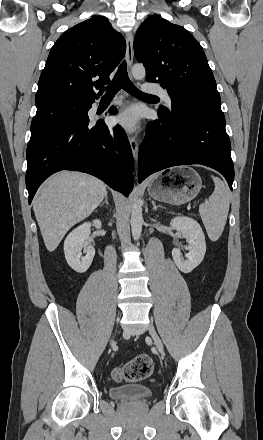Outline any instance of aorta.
Instances as JSON below:
<instances>
[{
    "label": "aorta",
    "mask_w": 263,
    "mask_h": 440,
    "mask_svg": "<svg viewBox=\"0 0 263 440\" xmlns=\"http://www.w3.org/2000/svg\"><path fill=\"white\" fill-rule=\"evenodd\" d=\"M132 75L135 79H143L146 75L145 68L142 64H135L132 67ZM131 231L135 241L139 240L142 232L143 216L140 200L134 199L131 212Z\"/></svg>",
    "instance_id": "1"
}]
</instances>
